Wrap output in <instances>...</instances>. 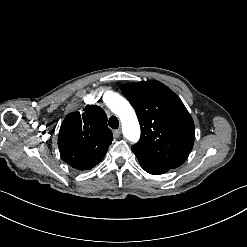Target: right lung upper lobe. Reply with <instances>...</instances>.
Masks as SVG:
<instances>
[{
    "mask_svg": "<svg viewBox=\"0 0 247 247\" xmlns=\"http://www.w3.org/2000/svg\"><path fill=\"white\" fill-rule=\"evenodd\" d=\"M105 112L88 105L84 112H72L62 122L58 146L63 161L77 170H88L100 163L112 143Z\"/></svg>",
    "mask_w": 247,
    "mask_h": 247,
    "instance_id": "cb5924a9",
    "label": "right lung upper lobe"
}]
</instances>
